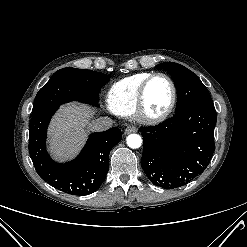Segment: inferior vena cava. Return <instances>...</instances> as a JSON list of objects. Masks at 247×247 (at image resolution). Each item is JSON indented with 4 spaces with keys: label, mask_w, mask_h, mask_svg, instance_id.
I'll return each instance as SVG.
<instances>
[{
    "label": "inferior vena cava",
    "mask_w": 247,
    "mask_h": 247,
    "mask_svg": "<svg viewBox=\"0 0 247 247\" xmlns=\"http://www.w3.org/2000/svg\"><path fill=\"white\" fill-rule=\"evenodd\" d=\"M113 120L109 117H100L91 122L90 128L94 131H105L111 128Z\"/></svg>",
    "instance_id": "1"
}]
</instances>
